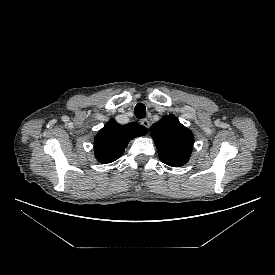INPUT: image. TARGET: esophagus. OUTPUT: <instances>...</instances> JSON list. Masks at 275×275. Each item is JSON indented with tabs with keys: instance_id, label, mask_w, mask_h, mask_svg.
I'll list each match as a JSON object with an SVG mask.
<instances>
[{
	"instance_id": "1",
	"label": "esophagus",
	"mask_w": 275,
	"mask_h": 275,
	"mask_svg": "<svg viewBox=\"0 0 275 275\" xmlns=\"http://www.w3.org/2000/svg\"><path fill=\"white\" fill-rule=\"evenodd\" d=\"M140 124H141L142 126H144L145 128H147V129H149V127H150V122H149L147 119L141 120V121H140Z\"/></svg>"
}]
</instances>
